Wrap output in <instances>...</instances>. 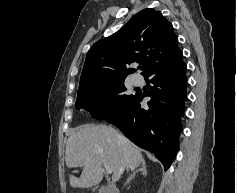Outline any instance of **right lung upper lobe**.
Wrapping results in <instances>:
<instances>
[{"mask_svg": "<svg viewBox=\"0 0 237 193\" xmlns=\"http://www.w3.org/2000/svg\"><path fill=\"white\" fill-rule=\"evenodd\" d=\"M178 38L160 11L144 9L121 30L96 42L88 51L79 90L105 82L123 80L134 69L126 65L139 62L145 75L154 65L173 56Z\"/></svg>", "mask_w": 237, "mask_h": 193, "instance_id": "right-lung-upper-lobe-1", "label": "right lung upper lobe"}]
</instances>
